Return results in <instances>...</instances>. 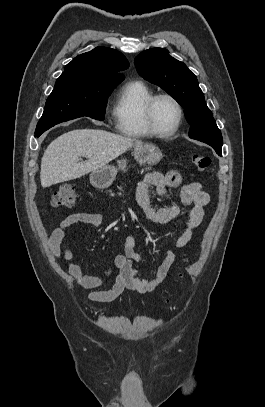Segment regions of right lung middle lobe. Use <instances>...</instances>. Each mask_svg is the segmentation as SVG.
<instances>
[{
	"instance_id": "right-lung-middle-lobe-1",
	"label": "right lung middle lobe",
	"mask_w": 265,
	"mask_h": 407,
	"mask_svg": "<svg viewBox=\"0 0 265 407\" xmlns=\"http://www.w3.org/2000/svg\"><path fill=\"white\" fill-rule=\"evenodd\" d=\"M118 84L78 82L59 77L46 101L35 134L39 136L58 123L83 116L103 120L108 96Z\"/></svg>"
}]
</instances>
